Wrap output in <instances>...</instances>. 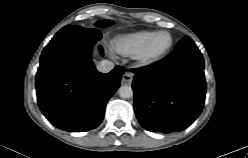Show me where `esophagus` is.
I'll return each mask as SVG.
<instances>
[{"label":"esophagus","mask_w":248,"mask_h":158,"mask_svg":"<svg viewBox=\"0 0 248 158\" xmlns=\"http://www.w3.org/2000/svg\"><path fill=\"white\" fill-rule=\"evenodd\" d=\"M133 73L130 71H126L122 76V83L131 84L133 80Z\"/></svg>","instance_id":"obj_1"}]
</instances>
